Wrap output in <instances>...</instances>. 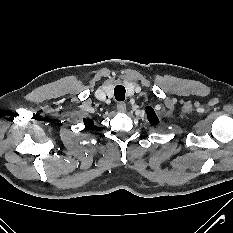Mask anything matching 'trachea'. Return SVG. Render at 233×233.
<instances>
[{
	"mask_svg": "<svg viewBox=\"0 0 233 233\" xmlns=\"http://www.w3.org/2000/svg\"><path fill=\"white\" fill-rule=\"evenodd\" d=\"M125 88L122 85H117L114 88V96L117 101H124L125 100Z\"/></svg>",
	"mask_w": 233,
	"mask_h": 233,
	"instance_id": "1",
	"label": "trachea"
}]
</instances>
